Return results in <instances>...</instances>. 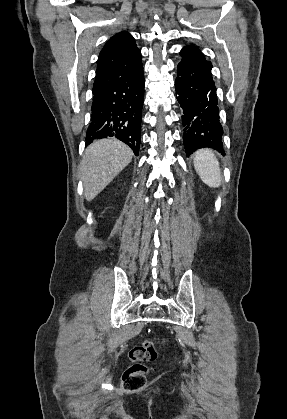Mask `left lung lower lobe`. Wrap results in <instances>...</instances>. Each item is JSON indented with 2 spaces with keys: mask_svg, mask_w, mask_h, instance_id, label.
Masks as SVG:
<instances>
[{
  "mask_svg": "<svg viewBox=\"0 0 287 419\" xmlns=\"http://www.w3.org/2000/svg\"><path fill=\"white\" fill-rule=\"evenodd\" d=\"M211 69V62L190 59H182L177 67L176 98L183 113V141L187 156L204 147L225 154Z\"/></svg>",
  "mask_w": 287,
  "mask_h": 419,
  "instance_id": "obj_1",
  "label": "left lung lower lobe"
}]
</instances>
